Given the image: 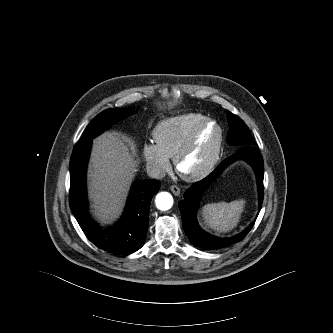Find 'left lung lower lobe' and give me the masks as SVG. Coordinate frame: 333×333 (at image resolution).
Here are the masks:
<instances>
[{
	"instance_id": "left-lung-lower-lobe-1",
	"label": "left lung lower lobe",
	"mask_w": 333,
	"mask_h": 333,
	"mask_svg": "<svg viewBox=\"0 0 333 333\" xmlns=\"http://www.w3.org/2000/svg\"><path fill=\"white\" fill-rule=\"evenodd\" d=\"M238 159H244L249 162L255 170L259 191V207L261 208L263 201V177H264V165L263 158L257 149L252 146L240 147L232 156L226 158L221 162L217 168L209 174L203 180L194 183L184 193V200L179 202V209L182 215L183 228L190 240V242L200 248L204 249H219L232 245L241 241L251 230L254 222L246 228L242 233L237 234L230 238H220L208 234L203 231L196 221V211L201 198L202 193L207 186L215 180L221 172L232 162Z\"/></svg>"
}]
</instances>
